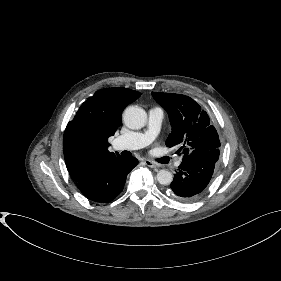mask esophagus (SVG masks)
Returning a JSON list of instances; mask_svg holds the SVG:
<instances>
[{
	"mask_svg": "<svg viewBox=\"0 0 281 281\" xmlns=\"http://www.w3.org/2000/svg\"><path fill=\"white\" fill-rule=\"evenodd\" d=\"M144 163H145V165H147L148 167H151V168H158L159 167L158 164L154 163L151 160H145Z\"/></svg>",
	"mask_w": 281,
	"mask_h": 281,
	"instance_id": "obj_1",
	"label": "esophagus"
}]
</instances>
